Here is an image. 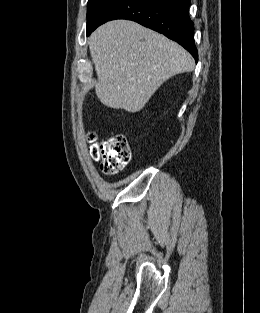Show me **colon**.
<instances>
[{
  "mask_svg": "<svg viewBox=\"0 0 260 313\" xmlns=\"http://www.w3.org/2000/svg\"><path fill=\"white\" fill-rule=\"evenodd\" d=\"M90 154L94 160L101 161V171L105 175L118 174L129 163L131 148L123 133L114 134L106 140L97 142L96 134L88 133Z\"/></svg>",
  "mask_w": 260,
  "mask_h": 313,
  "instance_id": "colon-1",
  "label": "colon"
}]
</instances>
